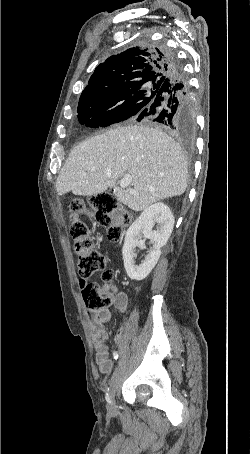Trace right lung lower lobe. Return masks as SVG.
Returning <instances> with one entry per match:
<instances>
[{
  "mask_svg": "<svg viewBox=\"0 0 250 454\" xmlns=\"http://www.w3.org/2000/svg\"><path fill=\"white\" fill-rule=\"evenodd\" d=\"M164 53L171 70L153 101L136 115V120L153 122L183 138H190L196 125L188 79L173 53L165 48Z\"/></svg>",
  "mask_w": 250,
  "mask_h": 454,
  "instance_id": "right-lung-lower-lobe-1",
  "label": "right lung lower lobe"
}]
</instances>
